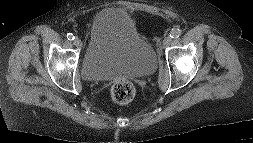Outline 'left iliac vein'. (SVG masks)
I'll return each mask as SVG.
<instances>
[{
  "mask_svg": "<svg viewBox=\"0 0 253 143\" xmlns=\"http://www.w3.org/2000/svg\"><path fill=\"white\" fill-rule=\"evenodd\" d=\"M171 42H172V38L170 36H167L163 40V46L167 47V46H169L171 44Z\"/></svg>",
  "mask_w": 253,
  "mask_h": 143,
  "instance_id": "4c4485c4",
  "label": "left iliac vein"
}]
</instances>
